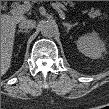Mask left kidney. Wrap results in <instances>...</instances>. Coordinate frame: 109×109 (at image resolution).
<instances>
[{
  "mask_svg": "<svg viewBox=\"0 0 109 109\" xmlns=\"http://www.w3.org/2000/svg\"><path fill=\"white\" fill-rule=\"evenodd\" d=\"M77 48L82 54L92 59L100 58L106 50L104 42L96 32L81 36L77 41Z\"/></svg>",
  "mask_w": 109,
  "mask_h": 109,
  "instance_id": "obj_1",
  "label": "left kidney"
}]
</instances>
